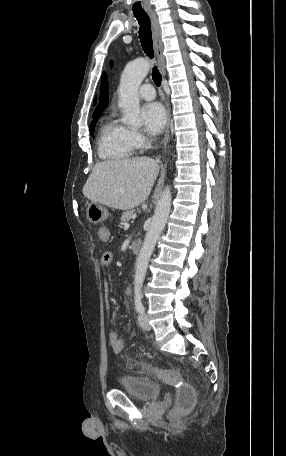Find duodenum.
Here are the masks:
<instances>
[{
    "label": "duodenum",
    "instance_id": "410a0bca",
    "mask_svg": "<svg viewBox=\"0 0 286 456\" xmlns=\"http://www.w3.org/2000/svg\"><path fill=\"white\" fill-rule=\"evenodd\" d=\"M141 248V241L140 240H134L131 244V250L133 253H138Z\"/></svg>",
    "mask_w": 286,
    "mask_h": 456
}]
</instances>
